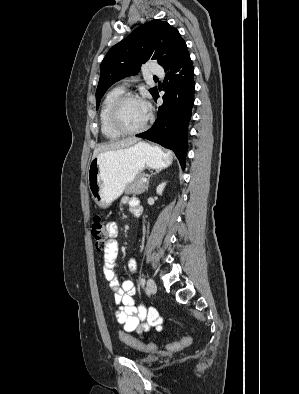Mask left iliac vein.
<instances>
[{
    "instance_id": "4c4485c4",
    "label": "left iliac vein",
    "mask_w": 299,
    "mask_h": 394,
    "mask_svg": "<svg viewBox=\"0 0 299 394\" xmlns=\"http://www.w3.org/2000/svg\"><path fill=\"white\" fill-rule=\"evenodd\" d=\"M146 287L149 293H155L157 291L156 283L152 278L148 279Z\"/></svg>"
}]
</instances>
